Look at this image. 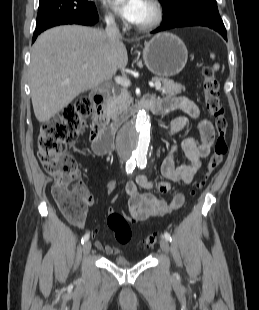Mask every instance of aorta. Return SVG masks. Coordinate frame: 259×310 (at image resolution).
<instances>
[{"mask_svg":"<svg viewBox=\"0 0 259 310\" xmlns=\"http://www.w3.org/2000/svg\"><path fill=\"white\" fill-rule=\"evenodd\" d=\"M118 144L128 158L146 156L150 145V118L145 110H140L123 128Z\"/></svg>","mask_w":259,"mask_h":310,"instance_id":"1","label":"aorta"}]
</instances>
